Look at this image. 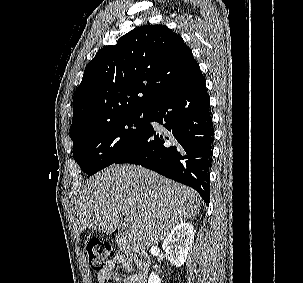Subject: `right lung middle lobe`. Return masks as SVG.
<instances>
[{
	"mask_svg": "<svg viewBox=\"0 0 303 283\" xmlns=\"http://www.w3.org/2000/svg\"><path fill=\"white\" fill-rule=\"evenodd\" d=\"M148 111H135L71 133L73 157L89 176L113 164L142 136Z\"/></svg>",
	"mask_w": 303,
	"mask_h": 283,
	"instance_id": "dd1d6c3e",
	"label": "right lung middle lobe"
}]
</instances>
